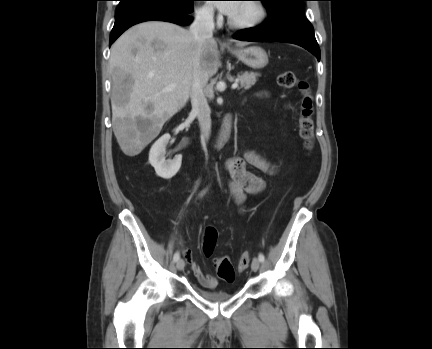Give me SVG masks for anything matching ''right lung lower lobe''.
<instances>
[{
	"mask_svg": "<svg viewBox=\"0 0 432 349\" xmlns=\"http://www.w3.org/2000/svg\"><path fill=\"white\" fill-rule=\"evenodd\" d=\"M193 1L182 7L152 0L139 1L119 7L115 15L109 46L129 27L141 22L158 20L179 25L191 23L192 18L187 14L193 10Z\"/></svg>",
	"mask_w": 432,
	"mask_h": 349,
	"instance_id": "obj_1",
	"label": "right lung lower lobe"
}]
</instances>
